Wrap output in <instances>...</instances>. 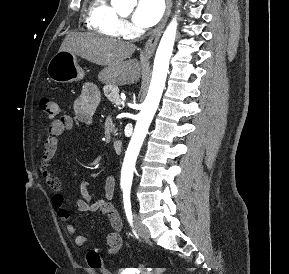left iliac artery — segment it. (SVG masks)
Masks as SVG:
<instances>
[{
	"label": "left iliac artery",
	"mask_w": 289,
	"mask_h": 274,
	"mask_svg": "<svg viewBox=\"0 0 289 274\" xmlns=\"http://www.w3.org/2000/svg\"><path fill=\"white\" fill-rule=\"evenodd\" d=\"M123 202H124V209L127 216V219L132 226L133 223V216L131 210V201H130V188L123 189Z\"/></svg>",
	"instance_id": "44dca946"
}]
</instances>
